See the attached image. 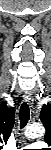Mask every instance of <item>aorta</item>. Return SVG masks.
Segmentation results:
<instances>
[{
	"label": "aorta",
	"mask_w": 51,
	"mask_h": 150,
	"mask_svg": "<svg viewBox=\"0 0 51 150\" xmlns=\"http://www.w3.org/2000/svg\"><path fill=\"white\" fill-rule=\"evenodd\" d=\"M44 133H45V129L40 124H32V125L28 126L25 130V136L28 139L43 136Z\"/></svg>",
	"instance_id": "aorta-1"
}]
</instances>
